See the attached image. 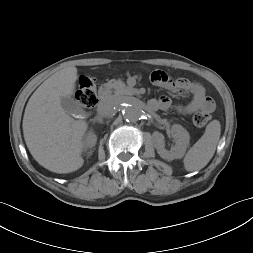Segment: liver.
I'll list each match as a JSON object with an SVG mask.
<instances>
[{"instance_id": "6515ba94", "label": "liver", "mask_w": 253, "mask_h": 253, "mask_svg": "<svg viewBox=\"0 0 253 253\" xmlns=\"http://www.w3.org/2000/svg\"><path fill=\"white\" fill-rule=\"evenodd\" d=\"M77 77L74 66L55 72L32 94L24 112L28 150L41 166L55 173L74 172L84 163L81 153L88 123L70 117L60 102L74 93Z\"/></svg>"}]
</instances>
